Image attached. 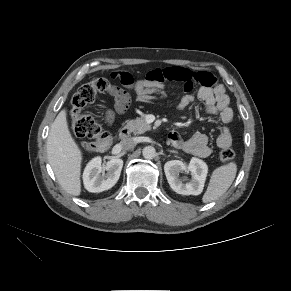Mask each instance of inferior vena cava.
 <instances>
[{"label":"inferior vena cava","instance_id":"inferior-vena-cava-1","mask_svg":"<svg viewBox=\"0 0 291 291\" xmlns=\"http://www.w3.org/2000/svg\"><path fill=\"white\" fill-rule=\"evenodd\" d=\"M120 146L124 150H130L136 146L134 138H125L120 142Z\"/></svg>","mask_w":291,"mask_h":291}]
</instances>
